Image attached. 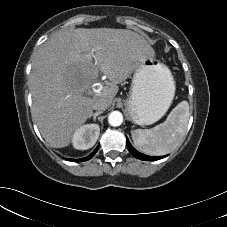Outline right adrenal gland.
I'll return each instance as SVG.
<instances>
[{"label":"right adrenal gland","mask_w":227,"mask_h":227,"mask_svg":"<svg viewBox=\"0 0 227 227\" xmlns=\"http://www.w3.org/2000/svg\"><path fill=\"white\" fill-rule=\"evenodd\" d=\"M101 113H102V111H98V112H95L92 114V118H93L94 122L96 121L97 116L100 115Z\"/></svg>","instance_id":"1"}]
</instances>
